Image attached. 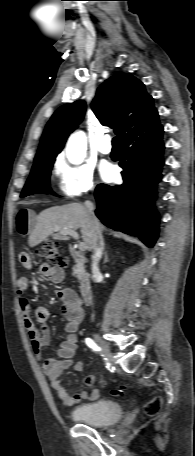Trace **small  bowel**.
Listing matches in <instances>:
<instances>
[{"label": "small bowel", "instance_id": "c3829d8e", "mask_svg": "<svg viewBox=\"0 0 195 456\" xmlns=\"http://www.w3.org/2000/svg\"><path fill=\"white\" fill-rule=\"evenodd\" d=\"M32 213L28 209H22L16 217V228L21 235L30 233ZM19 261L22 266L28 270L33 268V261L30 255L22 252L19 255ZM39 274L46 277L53 283H61L65 277L63 266H50L42 263L37 267ZM30 288V281L27 277H21L17 281V292L20 296L19 304L23 314L24 325L27 330L31 347L38 359L42 356V349L51 341V330L47 325L48 310L42 306L33 307L30 301L25 297V294ZM56 296L62 304V312L66 319L65 332L67 336L60 344L57 350V357L46 358L42 361L41 366L45 375L49 379L50 386L57 393L60 401L66 406H73L82 401H94L99 398V391L80 392L70 395L63 387L60 376L61 374L74 364L73 358L78 348L77 331L81 324L84 312L81 301L77 293L69 288L59 289L56 291ZM35 321L41 323V327H37ZM77 371H82L83 364L78 362L75 364ZM96 382V377L92 374L84 377V383L87 386H92Z\"/></svg>", "mask_w": 195, "mask_h": 456}]
</instances>
